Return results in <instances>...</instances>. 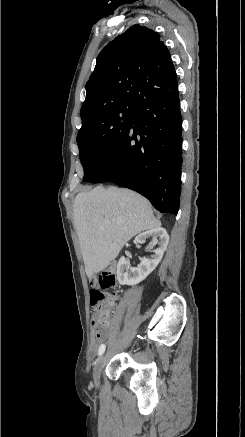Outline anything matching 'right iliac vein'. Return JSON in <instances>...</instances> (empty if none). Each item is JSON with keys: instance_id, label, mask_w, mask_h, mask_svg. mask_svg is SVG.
<instances>
[{"instance_id": "obj_1", "label": "right iliac vein", "mask_w": 245, "mask_h": 437, "mask_svg": "<svg viewBox=\"0 0 245 437\" xmlns=\"http://www.w3.org/2000/svg\"><path fill=\"white\" fill-rule=\"evenodd\" d=\"M105 359H106V354H103L100 357V359L98 360V362L96 363L95 367H94L93 378H94V382L96 384L99 383L100 373H101V370H102V368L104 366Z\"/></svg>"}]
</instances>
